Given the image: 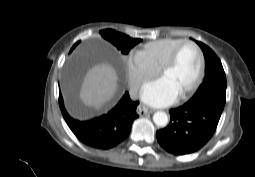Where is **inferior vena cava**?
Listing matches in <instances>:
<instances>
[{
    "label": "inferior vena cava",
    "instance_id": "1",
    "mask_svg": "<svg viewBox=\"0 0 255 177\" xmlns=\"http://www.w3.org/2000/svg\"><path fill=\"white\" fill-rule=\"evenodd\" d=\"M137 94H138V87H132L130 89V95L133 97V98H136L137 97Z\"/></svg>",
    "mask_w": 255,
    "mask_h": 177
}]
</instances>
